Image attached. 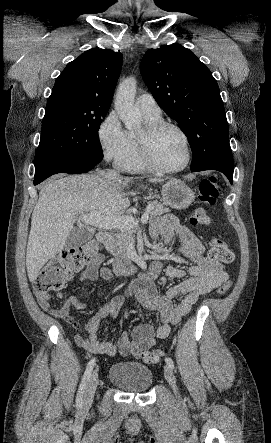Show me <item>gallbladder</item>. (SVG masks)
I'll list each match as a JSON object with an SVG mask.
<instances>
[{
	"instance_id": "gallbladder-1",
	"label": "gallbladder",
	"mask_w": 271,
	"mask_h": 443,
	"mask_svg": "<svg viewBox=\"0 0 271 443\" xmlns=\"http://www.w3.org/2000/svg\"><path fill=\"white\" fill-rule=\"evenodd\" d=\"M93 233L91 231H86V229H74L71 231L70 235H68L66 239V243L64 245V249H75V247H80L82 243L88 241V239H92ZM66 259L71 260L74 257L73 252L68 251L65 254Z\"/></svg>"
}]
</instances>
